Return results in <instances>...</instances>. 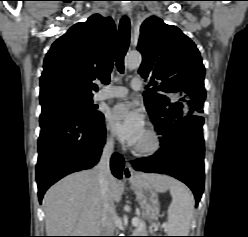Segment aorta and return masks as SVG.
Returning <instances> with one entry per match:
<instances>
[{
  "instance_id": "1",
  "label": "aorta",
  "mask_w": 248,
  "mask_h": 237,
  "mask_svg": "<svg viewBox=\"0 0 248 237\" xmlns=\"http://www.w3.org/2000/svg\"><path fill=\"white\" fill-rule=\"evenodd\" d=\"M142 62V56L138 52L127 53L124 59L125 67L129 70H134L140 66Z\"/></svg>"
}]
</instances>
